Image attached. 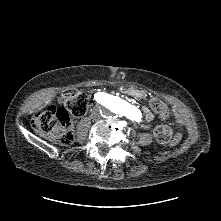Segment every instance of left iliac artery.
<instances>
[{
  "instance_id": "1",
  "label": "left iliac artery",
  "mask_w": 221,
  "mask_h": 221,
  "mask_svg": "<svg viewBox=\"0 0 221 221\" xmlns=\"http://www.w3.org/2000/svg\"><path fill=\"white\" fill-rule=\"evenodd\" d=\"M103 105L112 109L116 105V99L110 96L103 101Z\"/></svg>"
}]
</instances>
